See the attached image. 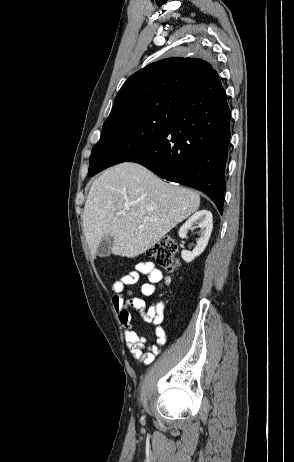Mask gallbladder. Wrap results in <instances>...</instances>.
Returning <instances> with one entry per match:
<instances>
[{"label":"gallbladder","instance_id":"bac80fb5","mask_svg":"<svg viewBox=\"0 0 294 462\" xmlns=\"http://www.w3.org/2000/svg\"><path fill=\"white\" fill-rule=\"evenodd\" d=\"M113 237L110 235H106L102 238L99 246L97 248L96 254L100 257H107L109 256L112 248Z\"/></svg>","mask_w":294,"mask_h":462}]
</instances>
